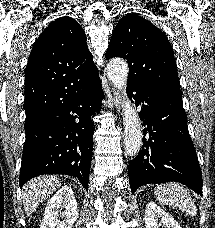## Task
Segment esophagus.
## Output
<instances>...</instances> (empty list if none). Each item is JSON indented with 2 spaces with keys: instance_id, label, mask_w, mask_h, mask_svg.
Wrapping results in <instances>:
<instances>
[{
  "instance_id": "1",
  "label": "esophagus",
  "mask_w": 215,
  "mask_h": 228,
  "mask_svg": "<svg viewBox=\"0 0 215 228\" xmlns=\"http://www.w3.org/2000/svg\"><path fill=\"white\" fill-rule=\"evenodd\" d=\"M112 97L114 100V105L116 106V108L121 111L122 110V97L120 95V93L116 90H112Z\"/></svg>"
}]
</instances>
